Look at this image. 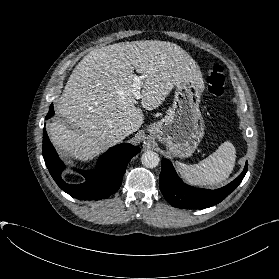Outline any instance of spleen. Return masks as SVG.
<instances>
[{
	"label": "spleen",
	"mask_w": 279,
	"mask_h": 279,
	"mask_svg": "<svg viewBox=\"0 0 279 279\" xmlns=\"http://www.w3.org/2000/svg\"><path fill=\"white\" fill-rule=\"evenodd\" d=\"M236 161V150L231 142H224L219 148L198 164L187 165L177 162L181 176L195 186L216 185L225 181L232 173Z\"/></svg>",
	"instance_id": "1"
}]
</instances>
